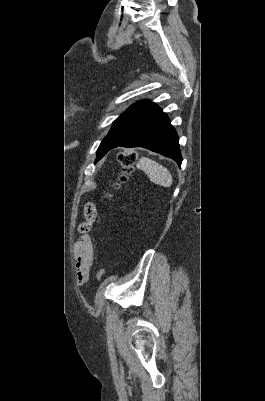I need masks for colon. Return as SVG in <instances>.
Segmentation results:
<instances>
[{
  "mask_svg": "<svg viewBox=\"0 0 265 401\" xmlns=\"http://www.w3.org/2000/svg\"><path fill=\"white\" fill-rule=\"evenodd\" d=\"M136 160L137 154L135 152H127L119 156L121 173L114 183L115 190L120 189L128 181L130 175L134 172ZM96 275L98 279H101L104 276V270H97Z\"/></svg>",
  "mask_w": 265,
  "mask_h": 401,
  "instance_id": "1",
  "label": "colon"
}]
</instances>
